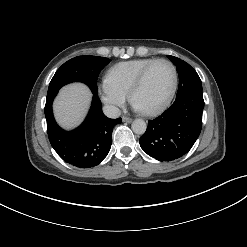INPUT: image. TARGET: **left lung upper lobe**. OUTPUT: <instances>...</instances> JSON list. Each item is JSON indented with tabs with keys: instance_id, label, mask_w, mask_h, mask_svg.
Here are the masks:
<instances>
[{
	"instance_id": "5c2ea615",
	"label": "left lung upper lobe",
	"mask_w": 247,
	"mask_h": 247,
	"mask_svg": "<svg viewBox=\"0 0 247 247\" xmlns=\"http://www.w3.org/2000/svg\"><path fill=\"white\" fill-rule=\"evenodd\" d=\"M168 58L176 65L179 75L177 95L187 91L202 90V83L197 72L188 63L174 56H168Z\"/></svg>"
}]
</instances>
